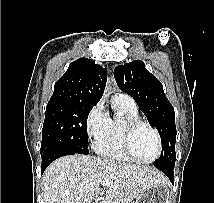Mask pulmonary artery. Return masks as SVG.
<instances>
[{
  "label": "pulmonary artery",
  "instance_id": "pulmonary-artery-1",
  "mask_svg": "<svg viewBox=\"0 0 214 203\" xmlns=\"http://www.w3.org/2000/svg\"><path fill=\"white\" fill-rule=\"evenodd\" d=\"M114 97L122 99L124 102L128 103L132 107H137L134 99L132 97H130L129 95H127V94L117 93V94H115Z\"/></svg>",
  "mask_w": 214,
  "mask_h": 203
}]
</instances>
